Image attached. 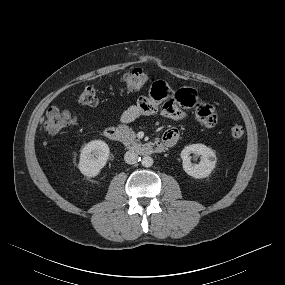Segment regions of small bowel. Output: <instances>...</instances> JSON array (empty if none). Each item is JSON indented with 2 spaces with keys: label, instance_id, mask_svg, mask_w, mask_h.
I'll use <instances>...</instances> for the list:
<instances>
[{
  "label": "small bowel",
  "instance_id": "c3829d8e",
  "mask_svg": "<svg viewBox=\"0 0 285 285\" xmlns=\"http://www.w3.org/2000/svg\"><path fill=\"white\" fill-rule=\"evenodd\" d=\"M148 95L140 96L134 104L126 108L119 117V122L129 124L140 116L152 115L158 110L168 118L184 120L187 114L182 107H193L198 121L204 127L213 128L217 124L214 106L200 100L197 91L191 87L176 91L166 82L153 81L148 86ZM178 139L179 131L176 128L168 129L162 136V142L167 147L175 145Z\"/></svg>",
  "mask_w": 285,
  "mask_h": 285
}]
</instances>
